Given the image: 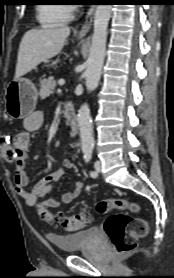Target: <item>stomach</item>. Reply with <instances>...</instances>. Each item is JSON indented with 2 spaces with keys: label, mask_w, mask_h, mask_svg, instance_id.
Listing matches in <instances>:
<instances>
[{
  "label": "stomach",
  "mask_w": 174,
  "mask_h": 278,
  "mask_svg": "<svg viewBox=\"0 0 174 278\" xmlns=\"http://www.w3.org/2000/svg\"><path fill=\"white\" fill-rule=\"evenodd\" d=\"M81 39L82 37H78ZM38 92L33 82L27 78L12 80L5 91V110L12 119H23L36 108Z\"/></svg>",
  "instance_id": "1"
}]
</instances>
